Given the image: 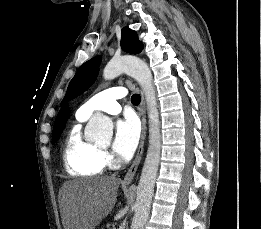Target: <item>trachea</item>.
Returning a JSON list of instances; mask_svg holds the SVG:
<instances>
[{
  "instance_id": "3493384b",
  "label": "trachea",
  "mask_w": 261,
  "mask_h": 229,
  "mask_svg": "<svg viewBox=\"0 0 261 229\" xmlns=\"http://www.w3.org/2000/svg\"><path fill=\"white\" fill-rule=\"evenodd\" d=\"M131 101H132V104H134V105L140 104V102H141L140 95L139 94L132 95Z\"/></svg>"
}]
</instances>
